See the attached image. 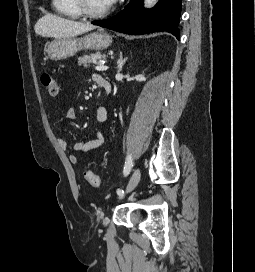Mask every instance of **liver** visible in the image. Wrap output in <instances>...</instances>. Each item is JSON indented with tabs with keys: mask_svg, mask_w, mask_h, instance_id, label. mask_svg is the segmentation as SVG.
I'll return each instance as SVG.
<instances>
[{
	"mask_svg": "<svg viewBox=\"0 0 255 272\" xmlns=\"http://www.w3.org/2000/svg\"><path fill=\"white\" fill-rule=\"evenodd\" d=\"M95 28V25L89 23L76 22L48 13L37 21L34 30L42 37L61 39L74 37Z\"/></svg>",
	"mask_w": 255,
	"mask_h": 272,
	"instance_id": "6515ba94",
	"label": "liver"
}]
</instances>
